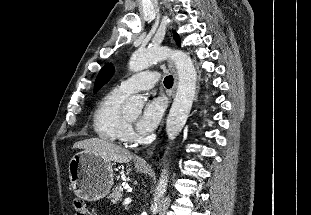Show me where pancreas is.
<instances>
[{"instance_id":"pancreas-1","label":"pancreas","mask_w":311,"mask_h":215,"mask_svg":"<svg viewBox=\"0 0 311 215\" xmlns=\"http://www.w3.org/2000/svg\"><path fill=\"white\" fill-rule=\"evenodd\" d=\"M122 190L123 188L121 185L116 186L112 190V192L108 196L112 203L116 204L119 200H121V197L123 196Z\"/></svg>"}]
</instances>
